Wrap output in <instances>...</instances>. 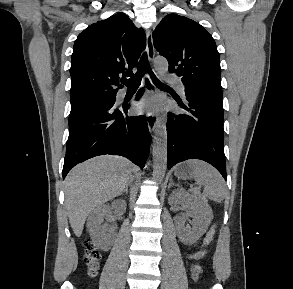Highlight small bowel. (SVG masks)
Wrapping results in <instances>:
<instances>
[{"label":"small bowel","instance_id":"small-bowel-1","mask_svg":"<svg viewBox=\"0 0 293 289\" xmlns=\"http://www.w3.org/2000/svg\"><path fill=\"white\" fill-rule=\"evenodd\" d=\"M204 255H205V251L200 250V251H197L195 253L187 255V258L191 259V260H193V259H201V258L204 257Z\"/></svg>","mask_w":293,"mask_h":289}]
</instances>
